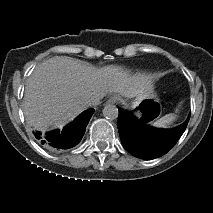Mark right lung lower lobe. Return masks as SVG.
Masks as SVG:
<instances>
[{"instance_id": "1", "label": "right lung lower lobe", "mask_w": 213, "mask_h": 213, "mask_svg": "<svg viewBox=\"0 0 213 213\" xmlns=\"http://www.w3.org/2000/svg\"><path fill=\"white\" fill-rule=\"evenodd\" d=\"M93 113L94 109L84 111L62 131H54L42 135V142H46L50 146L60 149H67L77 145L82 139ZM37 134L40 135L39 133ZM38 135L37 137H39Z\"/></svg>"}]
</instances>
